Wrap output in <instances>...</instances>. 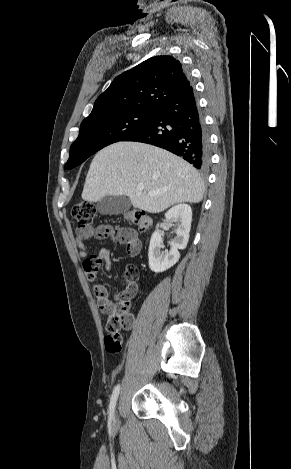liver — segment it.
I'll use <instances>...</instances> for the list:
<instances>
[{"label": "liver", "instance_id": "obj_1", "mask_svg": "<svg viewBox=\"0 0 291 469\" xmlns=\"http://www.w3.org/2000/svg\"><path fill=\"white\" fill-rule=\"evenodd\" d=\"M138 184L144 190H137ZM149 191L156 192L150 196ZM205 187L197 170L161 148L138 142H117L100 150L86 176L82 199L128 196L134 208L159 213L182 202L199 203Z\"/></svg>", "mask_w": 291, "mask_h": 469}]
</instances>
